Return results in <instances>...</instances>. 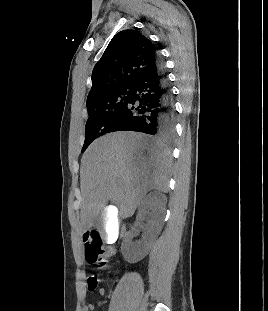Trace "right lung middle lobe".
I'll return each mask as SVG.
<instances>
[{"label": "right lung middle lobe", "instance_id": "obj_1", "mask_svg": "<svg viewBox=\"0 0 268 311\" xmlns=\"http://www.w3.org/2000/svg\"><path fill=\"white\" fill-rule=\"evenodd\" d=\"M132 96V87L112 92L87 107L88 120L85 127V141L81 152L98 137L109 132L114 122L127 107Z\"/></svg>", "mask_w": 268, "mask_h": 311}]
</instances>
